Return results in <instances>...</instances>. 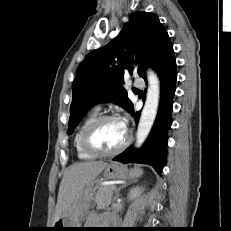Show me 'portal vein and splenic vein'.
Masks as SVG:
<instances>
[{
  "label": "portal vein and splenic vein",
  "mask_w": 231,
  "mask_h": 231,
  "mask_svg": "<svg viewBox=\"0 0 231 231\" xmlns=\"http://www.w3.org/2000/svg\"><path fill=\"white\" fill-rule=\"evenodd\" d=\"M112 190H116V187H115V186H113V187H112Z\"/></svg>",
  "instance_id": "obj_1"
}]
</instances>
